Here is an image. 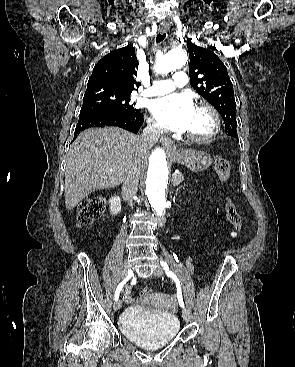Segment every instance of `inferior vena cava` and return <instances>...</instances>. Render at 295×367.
<instances>
[{
  "instance_id": "1",
  "label": "inferior vena cava",
  "mask_w": 295,
  "mask_h": 367,
  "mask_svg": "<svg viewBox=\"0 0 295 367\" xmlns=\"http://www.w3.org/2000/svg\"><path fill=\"white\" fill-rule=\"evenodd\" d=\"M163 128L159 124H148L140 137L143 149H150L160 138ZM140 172L136 166L129 168L123 180L122 195L132 205V198L138 190Z\"/></svg>"
}]
</instances>
